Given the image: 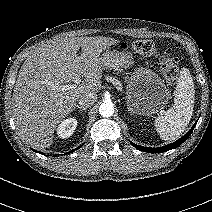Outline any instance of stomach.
Wrapping results in <instances>:
<instances>
[{
  "label": "stomach",
  "mask_w": 212,
  "mask_h": 212,
  "mask_svg": "<svg viewBox=\"0 0 212 212\" xmlns=\"http://www.w3.org/2000/svg\"><path fill=\"white\" fill-rule=\"evenodd\" d=\"M134 64L129 51L106 50L101 56L104 69L122 70ZM170 91L153 70L135 68L127 79L126 103L128 110L136 115H153L162 111L169 102Z\"/></svg>",
  "instance_id": "0dacf381"
}]
</instances>
